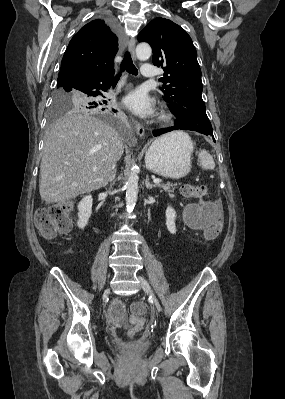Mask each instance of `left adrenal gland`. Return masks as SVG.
Listing matches in <instances>:
<instances>
[{
  "instance_id": "1",
  "label": "left adrenal gland",
  "mask_w": 285,
  "mask_h": 399,
  "mask_svg": "<svg viewBox=\"0 0 285 399\" xmlns=\"http://www.w3.org/2000/svg\"><path fill=\"white\" fill-rule=\"evenodd\" d=\"M145 186H146V188L149 189V190L156 187V185L151 184V183L149 182V176H148V175L146 176Z\"/></svg>"
}]
</instances>
